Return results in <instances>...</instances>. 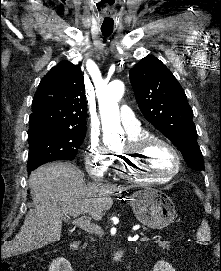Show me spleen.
<instances>
[{"mask_svg":"<svg viewBox=\"0 0 221 271\" xmlns=\"http://www.w3.org/2000/svg\"><path fill=\"white\" fill-rule=\"evenodd\" d=\"M198 241H209L210 239V229L209 223L206 219H203L198 231H197Z\"/></svg>","mask_w":221,"mask_h":271,"instance_id":"spleen-1","label":"spleen"}]
</instances>
